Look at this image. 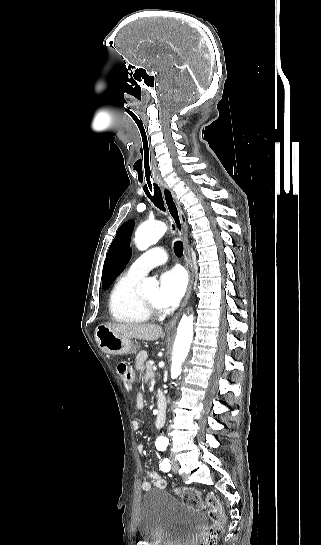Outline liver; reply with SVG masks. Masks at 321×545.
Returning <instances> with one entry per match:
<instances>
[{
	"label": "liver",
	"instance_id": "liver-1",
	"mask_svg": "<svg viewBox=\"0 0 321 545\" xmlns=\"http://www.w3.org/2000/svg\"><path fill=\"white\" fill-rule=\"evenodd\" d=\"M105 327L112 329L113 333L140 341H157L163 335L162 327L150 323H106Z\"/></svg>",
	"mask_w": 321,
	"mask_h": 545
}]
</instances>
